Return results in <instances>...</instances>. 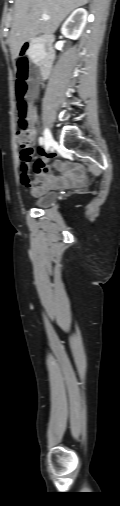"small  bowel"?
Masks as SVG:
<instances>
[{
	"instance_id": "1",
	"label": "small bowel",
	"mask_w": 120,
	"mask_h": 506,
	"mask_svg": "<svg viewBox=\"0 0 120 506\" xmlns=\"http://www.w3.org/2000/svg\"><path fill=\"white\" fill-rule=\"evenodd\" d=\"M37 91V87L34 86L31 98L34 97L35 93ZM31 120L32 123L36 121V112L32 108L30 110ZM32 134L35 139L36 131L32 127ZM40 156L35 160L33 166H31V160L28 163L27 170L25 172L22 171L21 174V183L24 187L31 190V193L35 196L41 195L42 193L46 192L48 189L51 188H61V189H69V188H76L83 184V171L80 166H73L70 167V170L64 173L62 176L57 177L53 175L49 169V167L45 164L44 158L46 157V153L43 151L42 148L39 150ZM55 167L63 170L66 168H69V165L62 161H55ZM33 168L36 179L32 181L30 179V170Z\"/></svg>"
}]
</instances>
